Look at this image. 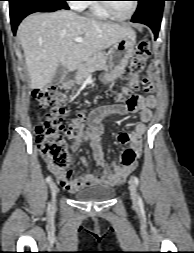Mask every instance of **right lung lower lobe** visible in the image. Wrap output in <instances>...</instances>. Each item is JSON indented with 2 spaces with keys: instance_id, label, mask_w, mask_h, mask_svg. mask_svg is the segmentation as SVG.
I'll list each match as a JSON object with an SVG mask.
<instances>
[{
  "instance_id": "98d812e1",
  "label": "right lung lower lobe",
  "mask_w": 194,
  "mask_h": 253,
  "mask_svg": "<svg viewBox=\"0 0 194 253\" xmlns=\"http://www.w3.org/2000/svg\"><path fill=\"white\" fill-rule=\"evenodd\" d=\"M67 0H12L10 2V18L14 34L20 21L34 12H53L68 9Z\"/></svg>"
}]
</instances>
